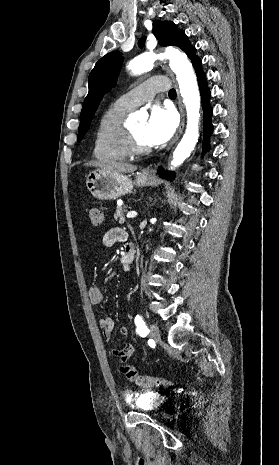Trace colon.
<instances>
[{
	"label": "colon",
	"mask_w": 279,
	"mask_h": 465,
	"mask_svg": "<svg viewBox=\"0 0 279 465\" xmlns=\"http://www.w3.org/2000/svg\"><path fill=\"white\" fill-rule=\"evenodd\" d=\"M89 218L92 225L96 227H101L103 225V214L101 210L97 207H92L89 210ZM121 371L125 376L132 382L136 383L138 386L143 388H160L168 387L172 385V381L160 377H152L148 375H140L137 370L131 365H125L121 368Z\"/></svg>",
	"instance_id": "colon-1"
}]
</instances>
